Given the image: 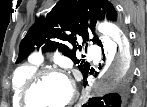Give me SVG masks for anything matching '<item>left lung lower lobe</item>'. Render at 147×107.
<instances>
[{
    "instance_id": "0a47b994",
    "label": "left lung lower lobe",
    "mask_w": 147,
    "mask_h": 107,
    "mask_svg": "<svg viewBox=\"0 0 147 107\" xmlns=\"http://www.w3.org/2000/svg\"><path fill=\"white\" fill-rule=\"evenodd\" d=\"M89 74H91V71L83 76V84L85 86ZM115 90V92L106 94L103 97L89 99L82 107H125L129 94L128 84L124 80Z\"/></svg>"
}]
</instances>
